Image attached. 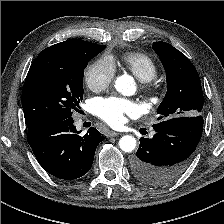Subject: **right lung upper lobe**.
Returning <instances> with one entry per match:
<instances>
[{
  "instance_id": "cb5924a9",
  "label": "right lung upper lobe",
  "mask_w": 224,
  "mask_h": 224,
  "mask_svg": "<svg viewBox=\"0 0 224 224\" xmlns=\"http://www.w3.org/2000/svg\"><path fill=\"white\" fill-rule=\"evenodd\" d=\"M92 46V43L80 39H70L44 49L41 53L71 54L84 51Z\"/></svg>"
}]
</instances>
